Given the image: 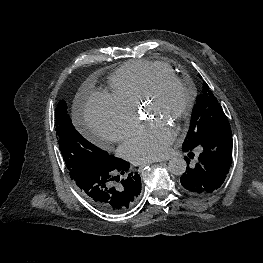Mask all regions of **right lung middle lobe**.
Returning <instances> with one entry per match:
<instances>
[{
    "label": "right lung middle lobe",
    "mask_w": 263,
    "mask_h": 263,
    "mask_svg": "<svg viewBox=\"0 0 263 263\" xmlns=\"http://www.w3.org/2000/svg\"><path fill=\"white\" fill-rule=\"evenodd\" d=\"M55 130L63 159L71 179L83 168L101 165L110 155L97 148L75 129L67 113L65 101H60L55 112Z\"/></svg>",
    "instance_id": "right-lung-middle-lobe-1"
}]
</instances>
